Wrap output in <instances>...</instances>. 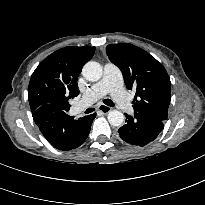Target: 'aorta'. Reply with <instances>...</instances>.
Returning <instances> with one entry per match:
<instances>
[{"instance_id": "obj_1", "label": "aorta", "mask_w": 205, "mask_h": 205, "mask_svg": "<svg viewBox=\"0 0 205 205\" xmlns=\"http://www.w3.org/2000/svg\"><path fill=\"white\" fill-rule=\"evenodd\" d=\"M102 66L95 61L87 62L82 69V75L88 81L95 82L102 77ZM108 121L112 126H121L125 121V116L121 111L110 110L107 115Z\"/></svg>"}]
</instances>
